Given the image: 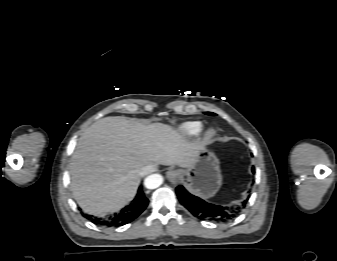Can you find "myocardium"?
<instances>
[{"label": "myocardium", "mask_w": 337, "mask_h": 261, "mask_svg": "<svg viewBox=\"0 0 337 261\" xmlns=\"http://www.w3.org/2000/svg\"><path fill=\"white\" fill-rule=\"evenodd\" d=\"M216 137V131L213 128L207 129L203 134V139L206 143L212 142Z\"/></svg>", "instance_id": "1"}]
</instances>
